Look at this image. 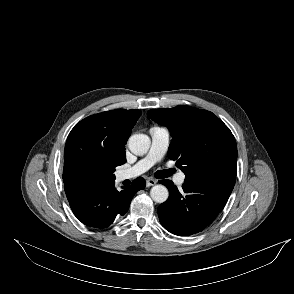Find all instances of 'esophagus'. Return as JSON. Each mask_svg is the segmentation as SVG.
I'll return each mask as SVG.
<instances>
[{"instance_id":"1","label":"esophagus","mask_w":294,"mask_h":294,"mask_svg":"<svg viewBox=\"0 0 294 294\" xmlns=\"http://www.w3.org/2000/svg\"><path fill=\"white\" fill-rule=\"evenodd\" d=\"M156 183H157L156 180L153 179V178H148V179L146 180V186H147V187L154 186Z\"/></svg>"}]
</instances>
